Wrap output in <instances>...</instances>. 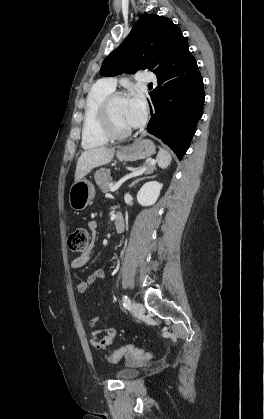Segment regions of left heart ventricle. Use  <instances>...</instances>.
<instances>
[{
    "label": "left heart ventricle",
    "instance_id": "obj_1",
    "mask_svg": "<svg viewBox=\"0 0 264 419\" xmlns=\"http://www.w3.org/2000/svg\"><path fill=\"white\" fill-rule=\"evenodd\" d=\"M126 99L118 98L112 105V117L115 125L119 129H129L131 126L128 124L125 115Z\"/></svg>",
    "mask_w": 264,
    "mask_h": 419
}]
</instances>
